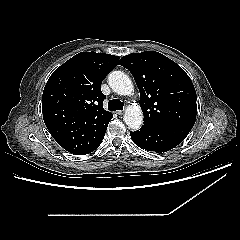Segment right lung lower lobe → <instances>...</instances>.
I'll use <instances>...</instances> for the list:
<instances>
[{
    "mask_svg": "<svg viewBox=\"0 0 240 240\" xmlns=\"http://www.w3.org/2000/svg\"><path fill=\"white\" fill-rule=\"evenodd\" d=\"M103 138H104V136H103ZM103 138L94 147H92L90 150H88V151H86V152H84L80 155H85V154H88V153H91L92 151H94L101 144Z\"/></svg>",
    "mask_w": 240,
    "mask_h": 240,
    "instance_id": "obj_1",
    "label": "right lung lower lobe"
}]
</instances>
